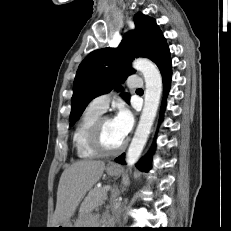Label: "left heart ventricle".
Masks as SVG:
<instances>
[{"mask_svg": "<svg viewBox=\"0 0 231 231\" xmlns=\"http://www.w3.org/2000/svg\"><path fill=\"white\" fill-rule=\"evenodd\" d=\"M102 141L107 148H116L124 141L117 132L111 119L105 120L103 123Z\"/></svg>", "mask_w": 231, "mask_h": 231, "instance_id": "1", "label": "left heart ventricle"}]
</instances>
